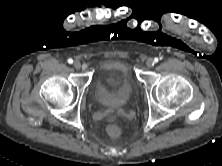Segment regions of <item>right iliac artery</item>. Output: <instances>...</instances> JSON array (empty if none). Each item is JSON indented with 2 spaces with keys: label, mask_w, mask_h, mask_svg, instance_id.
Returning a JSON list of instances; mask_svg holds the SVG:
<instances>
[{
  "label": "right iliac artery",
  "mask_w": 222,
  "mask_h": 166,
  "mask_svg": "<svg viewBox=\"0 0 222 166\" xmlns=\"http://www.w3.org/2000/svg\"><path fill=\"white\" fill-rule=\"evenodd\" d=\"M68 63L69 64H72L73 63V60L70 58V59H68Z\"/></svg>",
  "instance_id": "right-iliac-artery-1"
}]
</instances>
